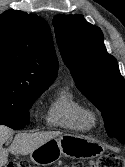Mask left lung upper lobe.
I'll return each mask as SVG.
<instances>
[{"instance_id":"1","label":"left lung upper lobe","mask_w":125,"mask_h":167,"mask_svg":"<svg viewBox=\"0 0 125 167\" xmlns=\"http://www.w3.org/2000/svg\"><path fill=\"white\" fill-rule=\"evenodd\" d=\"M53 26L77 87L101 111L108 136L125 144V80L106 51L102 31L81 15H57Z\"/></svg>"}]
</instances>
